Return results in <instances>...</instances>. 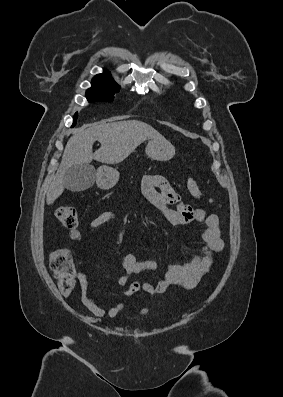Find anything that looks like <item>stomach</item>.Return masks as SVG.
Returning <instances> with one entry per match:
<instances>
[{"instance_id":"stomach-1","label":"stomach","mask_w":283,"mask_h":397,"mask_svg":"<svg viewBox=\"0 0 283 397\" xmlns=\"http://www.w3.org/2000/svg\"><path fill=\"white\" fill-rule=\"evenodd\" d=\"M145 152L152 160L168 161L175 155V148L166 139H152L148 142ZM118 177L117 170L108 166L99 167L95 174L97 186L104 190L112 188Z\"/></svg>"}]
</instances>
